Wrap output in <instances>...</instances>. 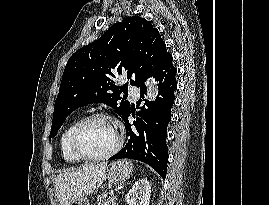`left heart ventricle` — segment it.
Listing matches in <instances>:
<instances>
[{
  "mask_svg": "<svg viewBox=\"0 0 269 205\" xmlns=\"http://www.w3.org/2000/svg\"><path fill=\"white\" fill-rule=\"evenodd\" d=\"M116 142L114 128L107 121L90 123L80 134L79 147L87 155H100L108 152Z\"/></svg>",
  "mask_w": 269,
  "mask_h": 205,
  "instance_id": "1",
  "label": "left heart ventricle"
}]
</instances>
